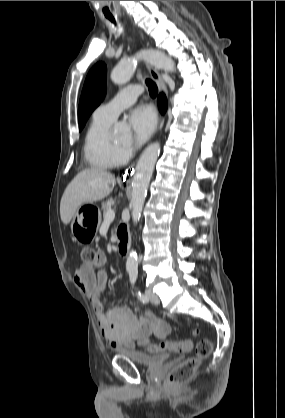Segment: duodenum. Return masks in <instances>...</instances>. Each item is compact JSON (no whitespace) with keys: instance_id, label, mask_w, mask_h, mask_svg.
I'll return each mask as SVG.
<instances>
[{"instance_id":"obj_1","label":"duodenum","mask_w":285,"mask_h":418,"mask_svg":"<svg viewBox=\"0 0 285 418\" xmlns=\"http://www.w3.org/2000/svg\"><path fill=\"white\" fill-rule=\"evenodd\" d=\"M118 251L121 256H127L130 251L131 243L128 236L122 235L120 230L117 231Z\"/></svg>"}]
</instances>
